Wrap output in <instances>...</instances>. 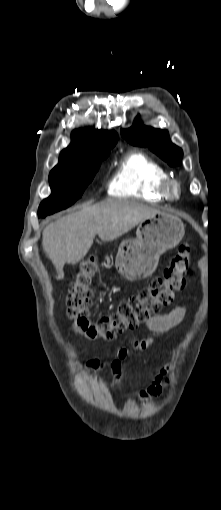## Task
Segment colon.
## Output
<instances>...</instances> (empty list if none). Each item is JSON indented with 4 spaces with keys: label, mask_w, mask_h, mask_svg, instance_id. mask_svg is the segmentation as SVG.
<instances>
[{
    "label": "colon",
    "mask_w": 221,
    "mask_h": 510,
    "mask_svg": "<svg viewBox=\"0 0 221 510\" xmlns=\"http://www.w3.org/2000/svg\"><path fill=\"white\" fill-rule=\"evenodd\" d=\"M191 260L190 245L183 243L161 277L153 279L146 288L131 296L115 312L95 321L89 318V312L92 307V285L99 271V264L94 257L81 261L67 300V314L72 320L74 332L89 341H112L118 334L135 329L170 304L174 292L184 287Z\"/></svg>",
    "instance_id": "colon-1"
}]
</instances>
